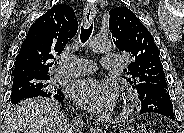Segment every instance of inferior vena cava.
I'll list each match as a JSON object with an SVG mask.
<instances>
[{
	"label": "inferior vena cava",
	"instance_id": "602c4592",
	"mask_svg": "<svg viewBox=\"0 0 184 133\" xmlns=\"http://www.w3.org/2000/svg\"><path fill=\"white\" fill-rule=\"evenodd\" d=\"M82 124V121L81 120H75L74 121V127H70L68 129V133H74V132H77V129L78 127Z\"/></svg>",
	"mask_w": 184,
	"mask_h": 133
}]
</instances>
